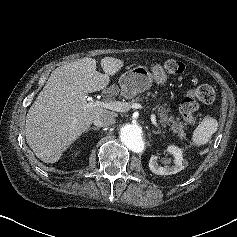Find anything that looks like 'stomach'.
<instances>
[{
  "label": "stomach",
  "mask_w": 237,
  "mask_h": 237,
  "mask_svg": "<svg viewBox=\"0 0 237 237\" xmlns=\"http://www.w3.org/2000/svg\"><path fill=\"white\" fill-rule=\"evenodd\" d=\"M151 71L144 66H137L122 74L119 78L122 95L130 99L149 89L153 80L158 84L167 81L168 76L160 64H153Z\"/></svg>",
  "instance_id": "obj_1"
}]
</instances>
